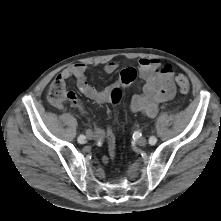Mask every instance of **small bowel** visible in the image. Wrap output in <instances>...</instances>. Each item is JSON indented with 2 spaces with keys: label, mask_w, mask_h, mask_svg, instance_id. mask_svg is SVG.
I'll return each mask as SVG.
<instances>
[{
  "label": "small bowel",
  "mask_w": 221,
  "mask_h": 221,
  "mask_svg": "<svg viewBox=\"0 0 221 221\" xmlns=\"http://www.w3.org/2000/svg\"><path fill=\"white\" fill-rule=\"evenodd\" d=\"M117 69L118 64L111 61L104 66L103 70L106 74H111ZM86 71V64L76 63L60 72L55 80L65 83L67 79L74 77L77 89L82 95L98 104H105L112 102L111 92L113 88L123 85L122 83L125 81H128L127 85H130L138 76L143 80L144 84L141 92L132 96L130 110L143 113L148 117H154L159 110L160 104L173 99L176 93L172 68L169 71L164 70V67H161V63L157 59H140L137 68L129 67L124 69L117 82L102 89L96 88L88 82ZM71 104L82 109V105L79 102H71ZM97 133L102 135V131L99 129ZM111 158L113 156L109 152V155L103 156L102 161L108 163Z\"/></svg>",
  "instance_id": "small-bowel-1"
}]
</instances>
